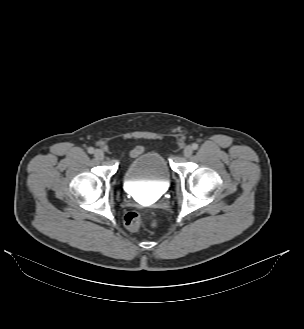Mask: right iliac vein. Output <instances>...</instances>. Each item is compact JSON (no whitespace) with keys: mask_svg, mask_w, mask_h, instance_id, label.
<instances>
[{"mask_svg":"<svg viewBox=\"0 0 304 329\" xmlns=\"http://www.w3.org/2000/svg\"><path fill=\"white\" fill-rule=\"evenodd\" d=\"M94 156L96 159L98 160H102L104 158V153L102 150H99L97 149L95 152H94Z\"/></svg>","mask_w":304,"mask_h":329,"instance_id":"right-iliac-vein-1","label":"right iliac vein"}]
</instances>
